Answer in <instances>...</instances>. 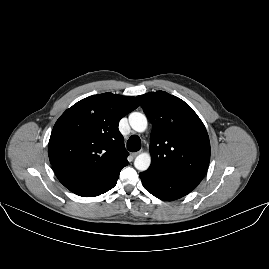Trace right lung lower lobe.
I'll list each match as a JSON object with an SVG mask.
<instances>
[{
  "label": "right lung lower lobe",
  "instance_id": "obj_1",
  "mask_svg": "<svg viewBox=\"0 0 269 269\" xmlns=\"http://www.w3.org/2000/svg\"><path fill=\"white\" fill-rule=\"evenodd\" d=\"M120 171L121 169L102 181L86 185L74 186L69 188V190L83 197L98 196L112 189L116 185Z\"/></svg>",
  "mask_w": 269,
  "mask_h": 269
}]
</instances>
